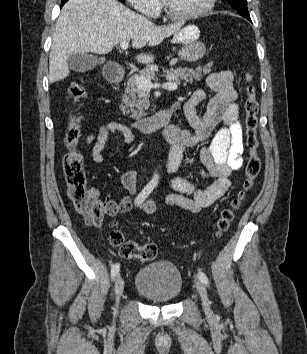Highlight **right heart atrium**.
Instances as JSON below:
<instances>
[{"label":"right heart atrium","mask_w":307,"mask_h":354,"mask_svg":"<svg viewBox=\"0 0 307 354\" xmlns=\"http://www.w3.org/2000/svg\"><path fill=\"white\" fill-rule=\"evenodd\" d=\"M127 2L133 9L148 17H154L160 11L159 0H127Z\"/></svg>","instance_id":"1"}]
</instances>
